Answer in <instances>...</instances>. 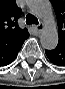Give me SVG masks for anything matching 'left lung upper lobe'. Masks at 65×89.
<instances>
[{
    "instance_id": "left-lung-upper-lobe-1",
    "label": "left lung upper lobe",
    "mask_w": 65,
    "mask_h": 89,
    "mask_svg": "<svg viewBox=\"0 0 65 89\" xmlns=\"http://www.w3.org/2000/svg\"><path fill=\"white\" fill-rule=\"evenodd\" d=\"M58 24L59 38H65V0H51Z\"/></svg>"
}]
</instances>
